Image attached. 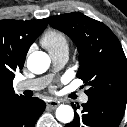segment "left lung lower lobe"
I'll list each match as a JSON object with an SVG mask.
<instances>
[{
    "mask_svg": "<svg viewBox=\"0 0 127 127\" xmlns=\"http://www.w3.org/2000/svg\"><path fill=\"white\" fill-rule=\"evenodd\" d=\"M73 107L77 109L76 106ZM82 107V115L75 113L74 120L65 127H118L126 103L108 98H89Z\"/></svg>",
    "mask_w": 127,
    "mask_h": 127,
    "instance_id": "left-lung-lower-lobe-1",
    "label": "left lung lower lobe"
}]
</instances>
